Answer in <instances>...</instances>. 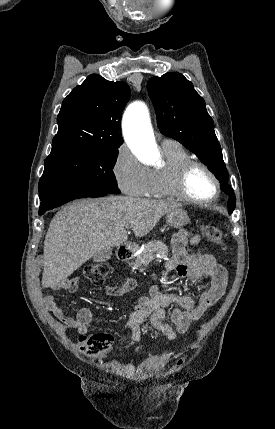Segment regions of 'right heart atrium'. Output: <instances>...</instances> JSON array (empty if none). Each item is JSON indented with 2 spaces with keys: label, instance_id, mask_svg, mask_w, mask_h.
<instances>
[{
  "label": "right heart atrium",
  "instance_id": "right-heart-atrium-1",
  "mask_svg": "<svg viewBox=\"0 0 275 429\" xmlns=\"http://www.w3.org/2000/svg\"><path fill=\"white\" fill-rule=\"evenodd\" d=\"M112 171L119 188L130 196L147 194L151 182V170L143 165L126 145L116 152Z\"/></svg>",
  "mask_w": 275,
  "mask_h": 429
}]
</instances>
